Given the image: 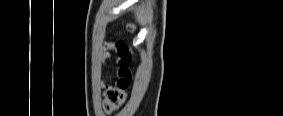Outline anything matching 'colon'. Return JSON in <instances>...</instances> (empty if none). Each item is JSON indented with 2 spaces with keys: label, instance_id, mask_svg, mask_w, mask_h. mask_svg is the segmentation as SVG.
<instances>
[{
  "label": "colon",
  "instance_id": "colon-1",
  "mask_svg": "<svg viewBox=\"0 0 283 116\" xmlns=\"http://www.w3.org/2000/svg\"><path fill=\"white\" fill-rule=\"evenodd\" d=\"M131 30H133V27H131ZM128 53L131 56L129 51ZM130 81L131 74L125 77H119V79L115 83L107 87L105 99L103 102V109L105 112H112L124 103L126 98L125 91L130 85Z\"/></svg>",
  "mask_w": 283,
  "mask_h": 116
}]
</instances>
